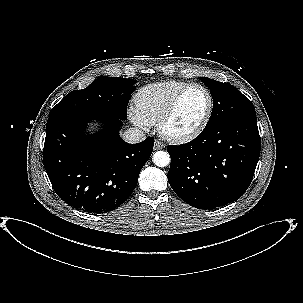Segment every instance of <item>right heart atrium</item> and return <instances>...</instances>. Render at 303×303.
<instances>
[{
    "label": "right heart atrium",
    "instance_id": "1",
    "mask_svg": "<svg viewBox=\"0 0 303 303\" xmlns=\"http://www.w3.org/2000/svg\"><path fill=\"white\" fill-rule=\"evenodd\" d=\"M130 121L139 129L145 130L149 128L150 124L139 114L134 107H129L127 110Z\"/></svg>",
    "mask_w": 303,
    "mask_h": 303
}]
</instances>
